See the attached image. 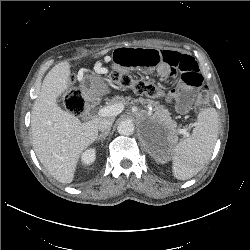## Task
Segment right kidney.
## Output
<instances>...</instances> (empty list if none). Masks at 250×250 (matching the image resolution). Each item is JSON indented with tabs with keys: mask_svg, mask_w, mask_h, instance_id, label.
<instances>
[{
	"mask_svg": "<svg viewBox=\"0 0 250 250\" xmlns=\"http://www.w3.org/2000/svg\"><path fill=\"white\" fill-rule=\"evenodd\" d=\"M96 158V150L94 148H90L86 150L82 156H81V161L85 165H91Z\"/></svg>",
	"mask_w": 250,
	"mask_h": 250,
	"instance_id": "obj_1",
	"label": "right kidney"
}]
</instances>
